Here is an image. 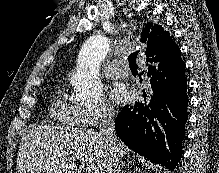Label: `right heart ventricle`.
Returning a JSON list of instances; mask_svg holds the SVG:
<instances>
[{"mask_svg":"<svg viewBox=\"0 0 219 173\" xmlns=\"http://www.w3.org/2000/svg\"><path fill=\"white\" fill-rule=\"evenodd\" d=\"M50 118L62 126H79L80 108L71 102L64 88L57 91V94L50 107Z\"/></svg>","mask_w":219,"mask_h":173,"instance_id":"obj_1","label":"right heart ventricle"}]
</instances>
